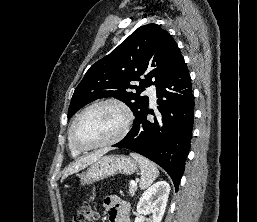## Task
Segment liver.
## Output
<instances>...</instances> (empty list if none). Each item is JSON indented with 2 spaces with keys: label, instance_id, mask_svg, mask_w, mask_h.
I'll return each instance as SVG.
<instances>
[{
  "label": "liver",
  "instance_id": "6515ba94",
  "mask_svg": "<svg viewBox=\"0 0 257 222\" xmlns=\"http://www.w3.org/2000/svg\"><path fill=\"white\" fill-rule=\"evenodd\" d=\"M110 149L106 148V149H102V150H98L95 153H92L90 155H87L81 159L76 160L75 162H73L72 164H70L64 171L63 176H62V180H64L65 178H67L69 175L76 173L84 168H86L87 166L93 164L94 162H96L99 158H101L104 154H106Z\"/></svg>",
  "mask_w": 257,
  "mask_h": 222
}]
</instances>
